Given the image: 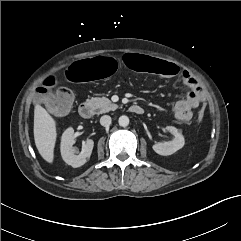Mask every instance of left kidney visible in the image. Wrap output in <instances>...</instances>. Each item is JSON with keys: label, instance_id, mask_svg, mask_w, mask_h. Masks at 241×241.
Returning <instances> with one entry per match:
<instances>
[{"label": "left kidney", "instance_id": "left-kidney-1", "mask_svg": "<svg viewBox=\"0 0 241 241\" xmlns=\"http://www.w3.org/2000/svg\"><path fill=\"white\" fill-rule=\"evenodd\" d=\"M166 129L174 136L173 140L167 142H159L153 145V150L163 156L171 155L181 149L185 144V139L173 126H167Z\"/></svg>", "mask_w": 241, "mask_h": 241}]
</instances>
